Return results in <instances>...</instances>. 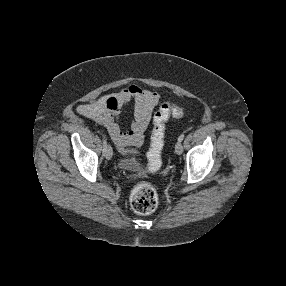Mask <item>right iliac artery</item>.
I'll use <instances>...</instances> for the list:
<instances>
[{
  "instance_id": "1",
  "label": "right iliac artery",
  "mask_w": 286,
  "mask_h": 286,
  "mask_svg": "<svg viewBox=\"0 0 286 286\" xmlns=\"http://www.w3.org/2000/svg\"><path fill=\"white\" fill-rule=\"evenodd\" d=\"M102 142H103V154L105 155L106 149H107V139L105 135H102Z\"/></svg>"
}]
</instances>
